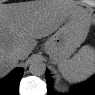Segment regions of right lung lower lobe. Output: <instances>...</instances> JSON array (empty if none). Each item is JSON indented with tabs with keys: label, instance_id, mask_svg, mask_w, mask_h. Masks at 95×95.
Here are the masks:
<instances>
[{
	"label": "right lung lower lobe",
	"instance_id": "right-lung-lower-lobe-1",
	"mask_svg": "<svg viewBox=\"0 0 95 95\" xmlns=\"http://www.w3.org/2000/svg\"><path fill=\"white\" fill-rule=\"evenodd\" d=\"M22 75H23L22 69H16L12 73L11 77L5 82V84L8 87H11L13 89L18 88V85H19V82H20Z\"/></svg>",
	"mask_w": 95,
	"mask_h": 95
}]
</instances>
